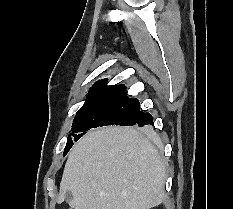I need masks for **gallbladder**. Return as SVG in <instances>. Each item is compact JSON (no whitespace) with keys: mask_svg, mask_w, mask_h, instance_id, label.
I'll list each match as a JSON object with an SVG mask.
<instances>
[{"mask_svg":"<svg viewBox=\"0 0 233 209\" xmlns=\"http://www.w3.org/2000/svg\"><path fill=\"white\" fill-rule=\"evenodd\" d=\"M73 198L72 193L69 191L66 193V201H70Z\"/></svg>","mask_w":233,"mask_h":209,"instance_id":"gallbladder-1","label":"gallbladder"}]
</instances>
